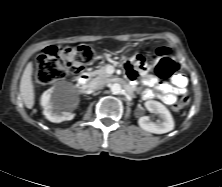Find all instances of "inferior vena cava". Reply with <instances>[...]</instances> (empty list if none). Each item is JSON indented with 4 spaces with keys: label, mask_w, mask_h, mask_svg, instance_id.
Returning <instances> with one entry per match:
<instances>
[{
    "label": "inferior vena cava",
    "mask_w": 222,
    "mask_h": 187,
    "mask_svg": "<svg viewBox=\"0 0 222 187\" xmlns=\"http://www.w3.org/2000/svg\"><path fill=\"white\" fill-rule=\"evenodd\" d=\"M107 84V80L101 77H96L94 79H92V81L90 82V87L92 89H102L105 85Z\"/></svg>",
    "instance_id": "1"
}]
</instances>
